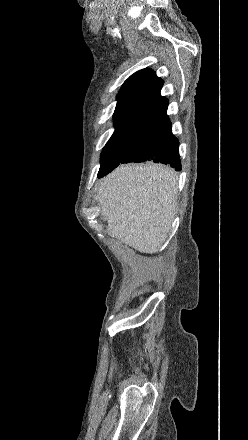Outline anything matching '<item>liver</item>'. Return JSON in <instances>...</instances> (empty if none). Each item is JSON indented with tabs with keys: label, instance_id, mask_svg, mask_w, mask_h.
<instances>
[{
	"label": "liver",
	"instance_id": "liver-1",
	"mask_svg": "<svg viewBox=\"0 0 248 440\" xmlns=\"http://www.w3.org/2000/svg\"><path fill=\"white\" fill-rule=\"evenodd\" d=\"M97 198L111 237L141 253H156L174 219L177 176L161 164L121 165L104 178Z\"/></svg>",
	"mask_w": 248,
	"mask_h": 440
}]
</instances>
